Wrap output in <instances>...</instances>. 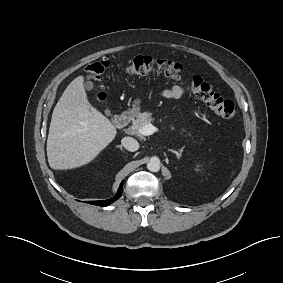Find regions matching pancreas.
<instances>
[{
	"mask_svg": "<svg viewBox=\"0 0 283 283\" xmlns=\"http://www.w3.org/2000/svg\"><path fill=\"white\" fill-rule=\"evenodd\" d=\"M153 121H154V119L152 117V113H150V112H143V113L139 112V113H137L136 119L133 121L132 126L130 128V133L132 135L141 136L139 129L146 124H151V122H153ZM182 131L186 132L185 129H182ZM188 135L191 136L190 134H188Z\"/></svg>",
	"mask_w": 283,
	"mask_h": 283,
	"instance_id": "cf45deb5",
	"label": "pancreas"
}]
</instances>
